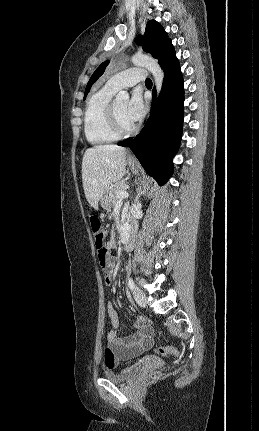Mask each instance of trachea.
Instances as JSON below:
<instances>
[{"label": "trachea", "mask_w": 259, "mask_h": 431, "mask_svg": "<svg viewBox=\"0 0 259 431\" xmlns=\"http://www.w3.org/2000/svg\"><path fill=\"white\" fill-rule=\"evenodd\" d=\"M145 84H146V85H152V81H151V79L147 78V79L145 80Z\"/></svg>", "instance_id": "obj_1"}]
</instances>
